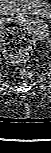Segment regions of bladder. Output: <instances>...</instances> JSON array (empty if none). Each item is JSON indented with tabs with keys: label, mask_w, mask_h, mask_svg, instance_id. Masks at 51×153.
<instances>
[{
	"label": "bladder",
	"mask_w": 51,
	"mask_h": 153,
	"mask_svg": "<svg viewBox=\"0 0 51 153\" xmlns=\"http://www.w3.org/2000/svg\"><path fill=\"white\" fill-rule=\"evenodd\" d=\"M0 8L5 14L38 16L42 19L50 16V7L46 0H0Z\"/></svg>",
	"instance_id": "obj_1"
}]
</instances>
